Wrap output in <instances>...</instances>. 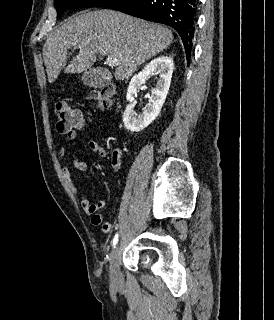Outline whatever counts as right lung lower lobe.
<instances>
[{
    "label": "right lung lower lobe",
    "instance_id": "1",
    "mask_svg": "<svg viewBox=\"0 0 274 320\" xmlns=\"http://www.w3.org/2000/svg\"><path fill=\"white\" fill-rule=\"evenodd\" d=\"M198 0H111L102 8L162 23L174 28L182 38L189 61L195 33Z\"/></svg>",
    "mask_w": 274,
    "mask_h": 320
}]
</instances>
